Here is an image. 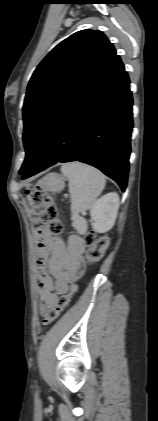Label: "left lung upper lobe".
<instances>
[{
	"instance_id": "5c2ea615",
	"label": "left lung upper lobe",
	"mask_w": 158,
	"mask_h": 421,
	"mask_svg": "<svg viewBox=\"0 0 158 421\" xmlns=\"http://www.w3.org/2000/svg\"><path fill=\"white\" fill-rule=\"evenodd\" d=\"M114 55V46L101 31L82 30L58 44L38 65L23 106L26 158L20 174L35 161L60 114Z\"/></svg>"
}]
</instances>
